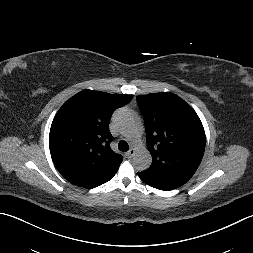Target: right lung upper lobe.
<instances>
[{"instance_id": "obj_1", "label": "right lung upper lobe", "mask_w": 253, "mask_h": 253, "mask_svg": "<svg viewBox=\"0 0 253 253\" xmlns=\"http://www.w3.org/2000/svg\"><path fill=\"white\" fill-rule=\"evenodd\" d=\"M126 94L83 90L55 115L49 134L52 160L70 183L94 188L113 178L123 157L110 148L112 113L131 101Z\"/></svg>"}]
</instances>
